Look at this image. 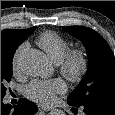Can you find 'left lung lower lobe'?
I'll use <instances>...</instances> for the list:
<instances>
[{
	"instance_id": "0a47b994",
	"label": "left lung lower lobe",
	"mask_w": 115,
	"mask_h": 115,
	"mask_svg": "<svg viewBox=\"0 0 115 115\" xmlns=\"http://www.w3.org/2000/svg\"><path fill=\"white\" fill-rule=\"evenodd\" d=\"M72 108V111L75 112L79 106H75L74 104H71L68 102ZM83 108V111L85 112L86 115H115V110L114 109H109L104 106H99V105H84L81 106ZM77 113V112H75Z\"/></svg>"
}]
</instances>
